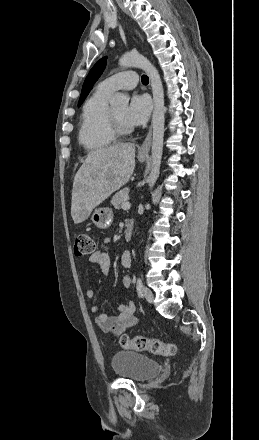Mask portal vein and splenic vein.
Instances as JSON below:
<instances>
[{
  "instance_id": "18ae733b",
  "label": "portal vein and splenic vein",
  "mask_w": 259,
  "mask_h": 440,
  "mask_svg": "<svg viewBox=\"0 0 259 440\" xmlns=\"http://www.w3.org/2000/svg\"><path fill=\"white\" fill-rule=\"evenodd\" d=\"M131 204L129 202H125L124 204H122V209L127 210L130 209Z\"/></svg>"
}]
</instances>
